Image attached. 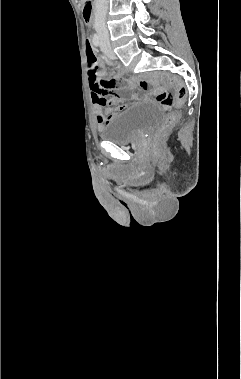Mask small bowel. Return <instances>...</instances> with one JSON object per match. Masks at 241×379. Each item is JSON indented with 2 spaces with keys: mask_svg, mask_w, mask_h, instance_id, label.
<instances>
[{
  "mask_svg": "<svg viewBox=\"0 0 241 379\" xmlns=\"http://www.w3.org/2000/svg\"><path fill=\"white\" fill-rule=\"evenodd\" d=\"M91 45L92 42L90 39H87ZM100 76H103V74H100ZM101 82H112L114 85L115 83H120L119 78H115L114 81H108L104 78H100ZM90 85V82H89ZM137 85L140 86L141 89H147L149 86V83L147 80H129L126 83H123L120 85V87L116 88V90L122 91L124 95L118 96L114 93H110L107 95H110V98H107V95H101L94 89H91V96L93 101V106L95 110L96 115V122L99 127L106 124L113 116L114 113L117 111H120L125 108V105L120 104L122 99L125 98H137V95L134 93L136 90Z\"/></svg>",
  "mask_w": 241,
  "mask_h": 379,
  "instance_id": "small-bowel-1",
  "label": "small bowel"
}]
</instances>
